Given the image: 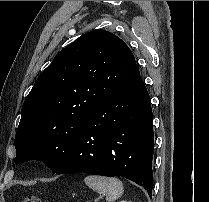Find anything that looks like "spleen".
Here are the masks:
<instances>
[{"label":"spleen","mask_w":209,"mask_h":202,"mask_svg":"<svg viewBox=\"0 0 209 202\" xmlns=\"http://www.w3.org/2000/svg\"><path fill=\"white\" fill-rule=\"evenodd\" d=\"M84 182L92 190L105 195L107 202H113L123 194V184L115 177L89 175Z\"/></svg>","instance_id":"3e777b00"}]
</instances>
